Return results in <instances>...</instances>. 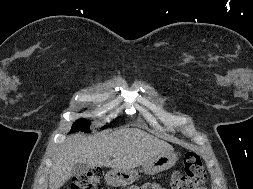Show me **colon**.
Segmentation results:
<instances>
[{
	"label": "colon",
	"mask_w": 253,
	"mask_h": 189,
	"mask_svg": "<svg viewBox=\"0 0 253 189\" xmlns=\"http://www.w3.org/2000/svg\"><path fill=\"white\" fill-rule=\"evenodd\" d=\"M102 170L97 168L71 180L70 189H104ZM206 181V172L200 155L187 152L184 156L183 173L173 174L170 189H201Z\"/></svg>",
	"instance_id": "obj_1"
}]
</instances>
